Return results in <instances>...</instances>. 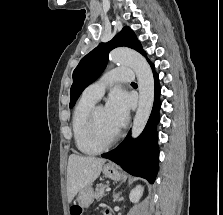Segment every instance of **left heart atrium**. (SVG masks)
I'll list each match as a JSON object with an SVG mask.
<instances>
[{
  "label": "left heart atrium",
  "mask_w": 223,
  "mask_h": 215,
  "mask_svg": "<svg viewBox=\"0 0 223 215\" xmlns=\"http://www.w3.org/2000/svg\"><path fill=\"white\" fill-rule=\"evenodd\" d=\"M130 100L122 90H115L111 93L105 106V111L111 122L119 129L122 127L129 114Z\"/></svg>",
  "instance_id": "left-heart-atrium-1"
}]
</instances>
